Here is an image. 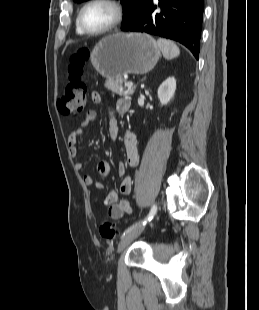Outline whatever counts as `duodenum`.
<instances>
[{"mask_svg": "<svg viewBox=\"0 0 259 310\" xmlns=\"http://www.w3.org/2000/svg\"><path fill=\"white\" fill-rule=\"evenodd\" d=\"M127 110H128L127 107H122V108L119 110V112H120V113H125Z\"/></svg>", "mask_w": 259, "mask_h": 310, "instance_id": "duodenum-1", "label": "duodenum"}]
</instances>
